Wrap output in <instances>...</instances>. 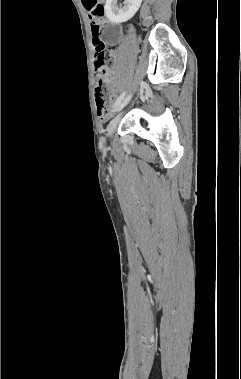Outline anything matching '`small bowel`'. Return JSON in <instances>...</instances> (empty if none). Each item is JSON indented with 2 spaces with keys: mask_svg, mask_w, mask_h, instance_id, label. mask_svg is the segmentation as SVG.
I'll return each instance as SVG.
<instances>
[{
  "mask_svg": "<svg viewBox=\"0 0 241 379\" xmlns=\"http://www.w3.org/2000/svg\"><path fill=\"white\" fill-rule=\"evenodd\" d=\"M109 74L107 75V79H108V82L110 83L111 86H115V81H113V79H111L110 77H108Z\"/></svg>",
  "mask_w": 241,
  "mask_h": 379,
  "instance_id": "c3829d8e",
  "label": "small bowel"
}]
</instances>
